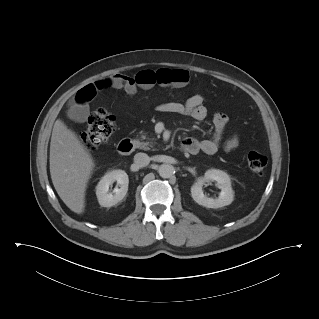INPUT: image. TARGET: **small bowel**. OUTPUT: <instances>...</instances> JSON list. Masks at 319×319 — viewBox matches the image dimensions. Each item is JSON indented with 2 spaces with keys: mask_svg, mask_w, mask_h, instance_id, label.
Returning <instances> with one entry per match:
<instances>
[{
  "mask_svg": "<svg viewBox=\"0 0 319 319\" xmlns=\"http://www.w3.org/2000/svg\"><path fill=\"white\" fill-rule=\"evenodd\" d=\"M188 80V72L184 69L144 70L138 73L135 78L122 74L110 75L79 90L76 99L77 104L72 108L73 118L77 121L85 120L89 113L85 102L90 101L97 92L108 88L122 89L127 94L134 95L138 86L143 89H149L155 84L164 87H179L185 85ZM157 109L163 113L187 115L197 121H203L208 116V109L204 105V97L201 94H193L185 102L174 101L160 104ZM227 123V115L216 112L213 115L214 134L212 138L205 140H197L193 137L186 138L183 145L187 147L188 153L214 154L220 147H223L227 152L234 151L239 145V138L237 135H232L223 140Z\"/></svg>",
  "mask_w": 319,
  "mask_h": 319,
  "instance_id": "small-bowel-1",
  "label": "small bowel"
}]
</instances>
